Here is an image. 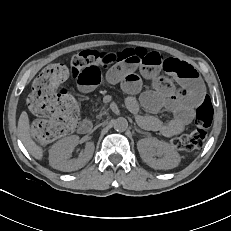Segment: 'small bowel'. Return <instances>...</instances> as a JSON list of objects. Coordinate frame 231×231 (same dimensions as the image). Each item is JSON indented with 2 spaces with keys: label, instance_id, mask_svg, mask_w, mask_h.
Wrapping results in <instances>:
<instances>
[{
  "label": "small bowel",
  "instance_id": "1",
  "mask_svg": "<svg viewBox=\"0 0 231 231\" xmlns=\"http://www.w3.org/2000/svg\"><path fill=\"white\" fill-rule=\"evenodd\" d=\"M152 54L155 57L148 58L143 63L123 62L114 66L107 72L105 79L111 84L120 83L126 93L134 95L142 88V78L136 73V68H139L142 76L153 83L151 90L141 94L140 104L151 112L166 108L173 117L162 122L152 115H139L140 104L133 96L126 101L128 108L137 114V120L144 128L165 136L177 135L190 123L195 107L202 102L204 85L190 64L174 58L165 59L158 53ZM162 71L177 79L180 87H174L168 78L161 75ZM101 80L100 67L89 66L77 76L78 88L81 92H89Z\"/></svg>",
  "mask_w": 231,
  "mask_h": 231
}]
</instances>
